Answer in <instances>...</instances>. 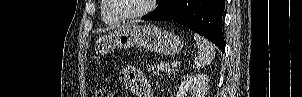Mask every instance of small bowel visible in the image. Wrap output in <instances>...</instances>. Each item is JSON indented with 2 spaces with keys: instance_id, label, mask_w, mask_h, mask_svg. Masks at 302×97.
<instances>
[{
  "instance_id": "1",
  "label": "small bowel",
  "mask_w": 302,
  "mask_h": 97,
  "mask_svg": "<svg viewBox=\"0 0 302 97\" xmlns=\"http://www.w3.org/2000/svg\"><path fill=\"white\" fill-rule=\"evenodd\" d=\"M119 82L137 97H152L147 80L143 74L133 66H126L121 70Z\"/></svg>"
}]
</instances>
